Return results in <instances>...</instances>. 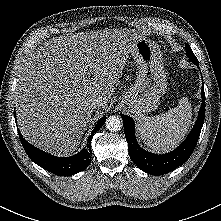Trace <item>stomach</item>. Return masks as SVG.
<instances>
[{
	"mask_svg": "<svg viewBox=\"0 0 221 221\" xmlns=\"http://www.w3.org/2000/svg\"><path fill=\"white\" fill-rule=\"evenodd\" d=\"M131 54L139 71L134 85L121 95L120 100L129 112L142 116L159 106L160 97L167 88L166 74L160 48L154 41L145 37L138 39Z\"/></svg>",
	"mask_w": 221,
	"mask_h": 221,
	"instance_id": "obj_1",
	"label": "stomach"
}]
</instances>
